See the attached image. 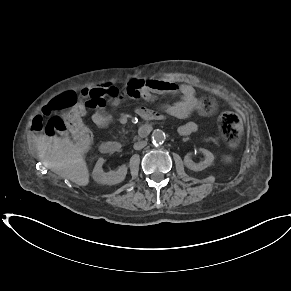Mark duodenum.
Listing matches in <instances>:
<instances>
[{
    "label": "duodenum",
    "mask_w": 291,
    "mask_h": 291,
    "mask_svg": "<svg viewBox=\"0 0 291 291\" xmlns=\"http://www.w3.org/2000/svg\"><path fill=\"white\" fill-rule=\"evenodd\" d=\"M149 121L151 120L149 119ZM150 131H151V126L149 124H144L139 127L138 136L140 138L146 137L149 135ZM100 149H101V152L104 154H113L120 149V145L114 141H105L101 144Z\"/></svg>",
    "instance_id": "duodenum-1"
}]
</instances>
